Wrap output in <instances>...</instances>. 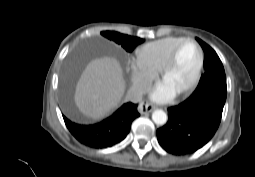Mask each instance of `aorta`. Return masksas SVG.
<instances>
[{"label":"aorta","mask_w":255,"mask_h":177,"mask_svg":"<svg viewBox=\"0 0 255 177\" xmlns=\"http://www.w3.org/2000/svg\"><path fill=\"white\" fill-rule=\"evenodd\" d=\"M152 120L157 125H164L167 122V114L163 110H155L152 113Z\"/></svg>","instance_id":"762f6f07"}]
</instances>
